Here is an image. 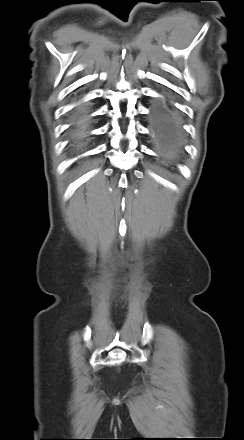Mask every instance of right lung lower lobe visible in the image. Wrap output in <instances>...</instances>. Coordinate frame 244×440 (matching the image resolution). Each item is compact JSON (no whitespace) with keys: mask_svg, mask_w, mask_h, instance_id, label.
Here are the masks:
<instances>
[{"mask_svg":"<svg viewBox=\"0 0 244 440\" xmlns=\"http://www.w3.org/2000/svg\"><path fill=\"white\" fill-rule=\"evenodd\" d=\"M87 120L80 117L70 130V139L74 144H81L86 140Z\"/></svg>","mask_w":244,"mask_h":440,"instance_id":"98d812e1","label":"right lung lower lobe"}]
</instances>
